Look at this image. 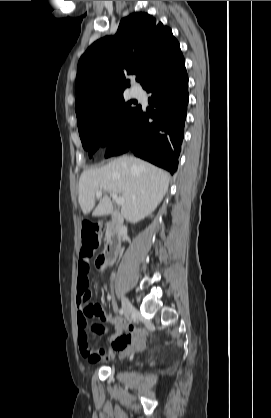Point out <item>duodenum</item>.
Returning <instances> with one entry per match:
<instances>
[{
	"mask_svg": "<svg viewBox=\"0 0 271 418\" xmlns=\"http://www.w3.org/2000/svg\"><path fill=\"white\" fill-rule=\"evenodd\" d=\"M124 234L125 228L123 224L118 215L113 213L107 225V242L99 258V263L102 267L110 266L116 261Z\"/></svg>",
	"mask_w": 271,
	"mask_h": 418,
	"instance_id": "obj_1",
	"label": "duodenum"
}]
</instances>
